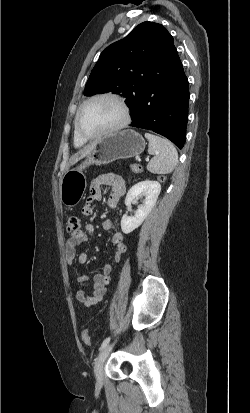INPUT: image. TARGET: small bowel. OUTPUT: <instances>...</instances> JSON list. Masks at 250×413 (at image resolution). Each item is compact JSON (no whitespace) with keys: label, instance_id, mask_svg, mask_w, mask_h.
<instances>
[{"label":"small bowel","instance_id":"1","mask_svg":"<svg viewBox=\"0 0 250 413\" xmlns=\"http://www.w3.org/2000/svg\"><path fill=\"white\" fill-rule=\"evenodd\" d=\"M104 186L111 187V193L108 198V205L110 208L114 209L119 202L120 198L124 195L126 191L125 180L115 174H106L94 179L90 186V199L83 207V213L85 215H91L92 200H101L103 197L102 188ZM103 229L106 231H112L111 242L114 246L113 259L116 263H119L122 256L125 254L127 247L124 243L123 234L116 229L115 223L112 218H107L104 220ZM95 232V226L91 223H87L84 226V230L74 229L72 231L71 237L68 239L65 248V257L67 263L72 266L73 262L77 260L80 264H85L88 260V255L85 251L77 252V247L87 242L89 236L93 235ZM112 276V266L110 264H105L102 271L94 276V282L91 285L92 292L87 293L86 288H88V276L86 274L80 273L76 276V282L79 285V289L76 293V299L79 303L85 305L86 307H93L98 304L107 292L108 286L111 282Z\"/></svg>","mask_w":250,"mask_h":413}]
</instances>
